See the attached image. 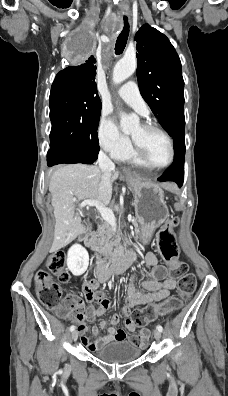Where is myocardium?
<instances>
[{
    "label": "myocardium",
    "instance_id": "myocardium-1",
    "mask_svg": "<svg viewBox=\"0 0 228 396\" xmlns=\"http://www.w3.org/2000/svg\"><path fill=\"white\" fill-rule=\"evenodd\" d=\"M145 129H149V130H154L157 131L159 133H161L167 140L168 143L170 145V158L169 160L163 164V165H153L149 162V160L146 158L144 152L142 151L141 147L134 141V139H132V144H133V153L134 156L136 157V159L145 167L153 169V170H161V169H165L168 166H170L175 158V145H174V141L173 138L171 137V135L164 130L162 127H160L159 125H157L156 123L152 122V121H145L141 124Z\"/></svg>",
    "mask_w": 228,
    "mask_h": 396
}]
</instances>
